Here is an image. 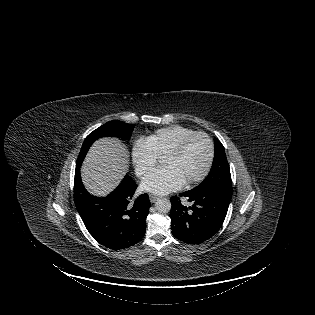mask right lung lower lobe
Wrapping results in <instances>:
<instances>
[{"instance_id": "right-lung-lower-lobe-1", "label": "right lung lower lobe", "mask_w": 315, "mask_h": 315, "mask_svg": "<svg viewBox=\"0 0 315 315\" xmlns=\"http://www.w3.org/2000/svg\"><path fill=\"white\" fill-rule=\"evenodd\" d=\"M136 188L127 174L108 196L95 197L84 188L80 167H76L75 205L87 230L100 244L119 250L138 243L145 235L150 201L147 194L135 198Z\"/></svg>"}]
</instances>
